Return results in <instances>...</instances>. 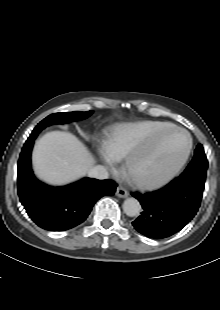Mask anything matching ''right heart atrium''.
Masks as SVG:
<instances>
[{
	"label": "right heart atrium",
	"mask_w": 220,
	"mask_h": 310,
	"mask_svg": "<svg viewBox=\"0 0 220 310\" xmlns=\"http://www.w3.org/2000/svg\"><path fill=\"white\" fill-rule=\"evenodd\" d=\"M104 160L107 162V164H111V160L110 158H108V156L104 153Z\"/></svg>",
	"instance_id": "d8ad5b80"
}]
</instances>
